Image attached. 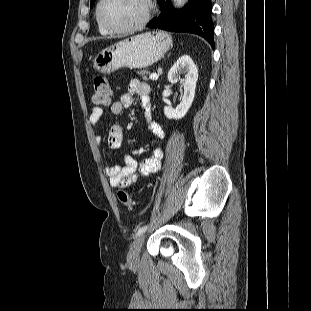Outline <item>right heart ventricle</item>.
<instances>
[{"label":"right heart ventricle","instance_id":"right-heart-ventricle-1","mask_svg":"<svg viewBox=\"0 0 311 311\" xmlns=\"http://www.w3.org/2000/svg\"><path fill=\"white\" fill-rule=\"evenodd\" d=\"M97 28H98L99 33L102 35H108L110 33L98 21H97Z\"/></svg>","mask_w":311,"mask_h":311}]
</instances>
